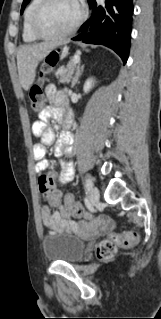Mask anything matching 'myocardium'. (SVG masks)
<instances>
[{
  "label": "myocardium",
  "mask_w": 161,
  "mask_h": 319,
  "mask_svg": "<svg viewBox=\"0 0 161 319\" xmlns=\"http://www.w3.org/2000/svg\"><path fill=\"white\" fill-rule=\"evenodd\" d=\"M74 1L78 9V14L76 18L74 19V21L71 23V25L61 32L54 33V34H46V33H43L38 28L37 23L42 10L50 2V0H40V2L38 3L37 7L34 10V13L32 15L31 22H30V29L33 35L36 38H40V39H58V38H62L72 34L85 17V8L82 5L81 1L80 0H74Z\"/></svg>",
  "instance_id": "f54148a6"
}]
</instances>
